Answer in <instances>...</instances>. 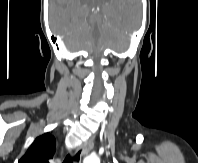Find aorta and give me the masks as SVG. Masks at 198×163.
I'll use <instances>...</instances> for the list:
<instances>
[{
	"mask_svg": "<svg viewBox=\"0 0 198 163\" xmlns=\"http://www.w3.org/2000/svg\"><path fill=\"white\" fill-rule=\"evenodd\" d=\"M83 163H100V160L97 156L91 155L86 157Z\"/></svg>",
	"mask_w": 198,
	"mask_h": 163,
	"instance_id": "762f6f07",
	"label": "aorta"
}]
</instances>
